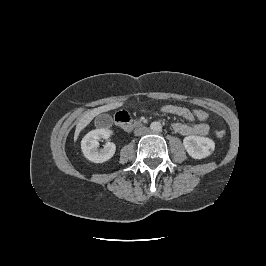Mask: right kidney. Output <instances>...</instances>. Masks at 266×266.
<instances>
[{"label":"right kidney","instance_id":"right-kidney-1","mask_svg":"<svg viewBox=\"0 0 266 266\" xmlns=\"http://www.w3.org/2000/svg\"><path fill=\"white\" fill-rule=\"evenodd\" d=\"M112 131L108 128H100L90 131L81 141V149L84 156L94 162L103 163L113 157L116 151L115 144L108 142L103 149H98L101 138L108 139Z\"/></svg>","mask_w":266,"mask_h":266}]
</instances>
